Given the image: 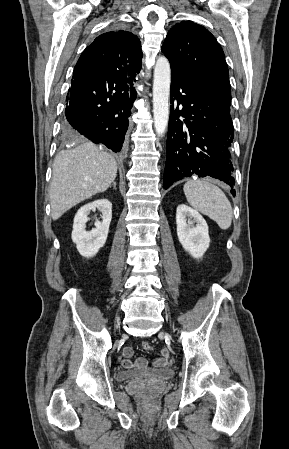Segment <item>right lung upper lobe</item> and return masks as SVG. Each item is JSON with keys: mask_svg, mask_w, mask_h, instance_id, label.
Instances as JSON below:
<instances>
[{"mask_svg": "<svg viewBox=\"0 0 289 449\" xmlns=\"http://www.w3.org/2000/svg\"><path fill=\"white\" fill-rule=\"evenodd\" d=\"M141 64V44L137 36L124 30L107 32L84 50L72 78L97 82L134 78Z\"/></svg>", "mask_w": 289, "mask_h": 449, "instance_id": "cb5924a9", "label": "right lung upper lobe"}]
</instances>
